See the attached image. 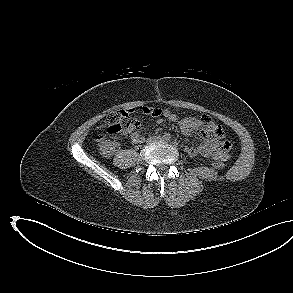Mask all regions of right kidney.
<instances>
[{
	"label": "right kidney",
	"instance_id": "ca27d5eb",
	"mask_svg": "<svg viewBox=\"0 0 293 293\" xmlns=\"http://www.w3.org/2000/svg\"><path fill=\"white\" fill-rule=\"evenodd\" d=\"M116 144L110 140L102 142L100 144V154L106 158H110L115 151Z\"/></svg>",
	"mask_w": 293,
	"mask_h": 293
}]
</instances>
